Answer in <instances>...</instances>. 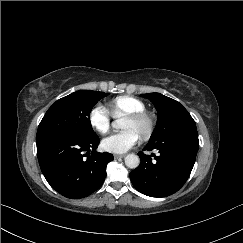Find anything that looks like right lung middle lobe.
<instances>
[{"mask_svg":"<svg viewBox=\"0 0 243 243\" xmlns=\"http://www.w3.org/2000/svg\"><path fill=\"white\" fill-rule=\"evenodd\" d=\"M107 95L82 90L57 100L40 122L36 139L47 135H67L81 139L97 136L89 116L93 106Z\"/></svg>","mask_w":243,"mask_h":243,"instance_id":"1","label":"right lung middle lobe"}]
</instances>
